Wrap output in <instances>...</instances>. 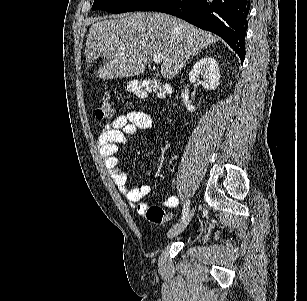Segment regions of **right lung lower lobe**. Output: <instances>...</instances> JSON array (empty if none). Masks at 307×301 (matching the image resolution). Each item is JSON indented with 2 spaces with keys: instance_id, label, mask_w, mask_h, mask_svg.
Instances as JSON below:
<instances>
[{
  "instance_id": "obj_1",
  "label": "right lung lower lobe",
  "mask_w": 307,
  "mask_h": 301,
  "mask_svg": "<svg viewBox=\"0 0 307 301\" xmlns=\"http://www.w3.org/2000/svg\"><path fill=\"white\" fill-rule=\"evenodd\" d=\"M249 9L248 0H153L141 11L175 15L213 32L223 38L243 62Z\"/></svg>"
}]
</instances>
